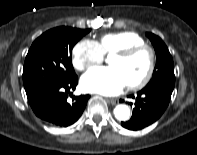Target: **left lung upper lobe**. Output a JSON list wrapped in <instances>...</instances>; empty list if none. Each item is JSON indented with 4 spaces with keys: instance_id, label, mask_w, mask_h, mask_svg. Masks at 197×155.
Here are the masks:
<instances>
[{
    "instance_id": "left-lung-upper-lobe-1",
    "label": "left lung upper lobe",
    "mask_w": 197,
    "mask_h": 155,
    "mask_svg": "<svg viewBox=\"0 0 197 155\" xmlns=\"http://www.w3.org/2000/svg\"><path fill=\"white\" fill-rule=\"evenodd\" d=\"M152 42L156 56V66L152 79L145 89L160 88L172 92L175 84L174 64L171 54L165 43L153 33H146Z\"/></svg>"
}]
</instances>
